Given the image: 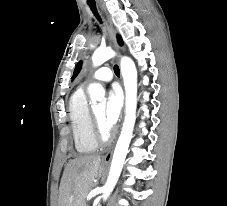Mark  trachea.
Segmentation results:
<instances>
[{
  "label": "trachea",
  "instance_id": "3493384b",
  "mask_svg": "<svg viewBox=\"0 0 227 206\" xmlns=\"http://www.w3.org/2000/svg\"><path fill=\"white\" fill-rule=\"evenodd\" d=\"M88 5L89 7L91 8L92 12L94 13V15L96 16V18L101 22V18L97 12V9H96V4L93 0H90L88 1ZM114 72L117 76H120V70H119V67L118 65H115L114 66Z\"/></svg>",
  "mask_w": 227,
  "mask_h": 206
}]
</instances>
